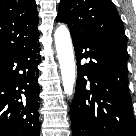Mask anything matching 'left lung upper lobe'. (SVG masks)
<instances>
[{
    "instance_id": "1",
    "label": "left lung upper lobe",
    "mask_w": 136,
    "mask_h": 136,
    "mask_svg": "<svg viewBox=\"0 0 136 136\" xmlns=\"http://www.w3.org/2000/svg\"><path fill=\"white\" fill-rule=\"evenodd\" d=\"M57 21L66 23L72 36L103 41L127 54L124 27L111 0H60Z\"/></svg>"
}]
</instances>
